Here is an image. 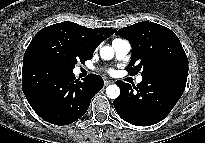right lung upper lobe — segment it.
<instances>
[{
    "label": "right lung upper lobe",
    "mask_w": 205,
    "mask_h": 143,
    "mask_svg": "<svg viewBox=\"0 0 205 143\" xmlns=\"http://www.w3.org/2000/svg\"><path fill=\"white\" fill-rule=\"evenodd\" d=\"M59 24L71 29L92 51H94L103 40L110 37L116 31L111 28H87L70 21L61 22Z\"/></svg>",
    "instance_id": "obj_1"
}]
</instances>
